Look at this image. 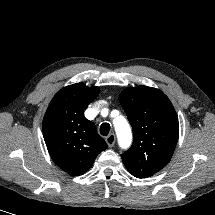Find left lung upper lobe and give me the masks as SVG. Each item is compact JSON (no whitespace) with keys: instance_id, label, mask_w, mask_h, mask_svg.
Returning a JSON list of instances; mask_svg holds the SVG:
<instances>
[{"instance_id":"5c2ea615","label":"left lung upper lobe","mask_w":215,"mask_h":215,"mask_svg":"<svg viewBox=\"0 0 215 215\" xmlns=\"http://www.w3.org/2000/svg\"><path fill=\"white\" fill-rule=\"evenodd\" d=\"M133 128L134 141L121 157L127 170L137 178H147L170 161L179 136L176 111L159 89L138 86L119 96Z\"/></svg>"}]
</instances>
